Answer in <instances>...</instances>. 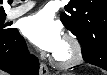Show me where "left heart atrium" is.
<instances>
[{"instance_id":"1","label":"left heart atrium","mask_w":107,"mask_h":75,"mask_svg":"<svg viewBox=\"0 0 107 75\" xmlns=\"http://www.w3.org/2000/svg\"><path fill=\"white\" fill-rule=\"evenodd\" d=\"M22 31L36 46L52 53H56L64 41L60 23L48 11L27 17Z\"/></svg>"}]
</instances>
